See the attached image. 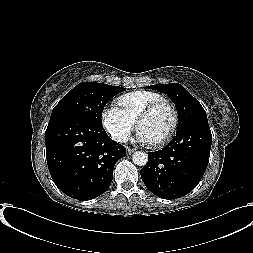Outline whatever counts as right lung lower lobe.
Segmentation results:
<instances>
[{
  "label": "right lung lower lobe",
  "instance_id": "1",
  "mask_svg": "<svg viewBox=\"0 0 253 253\" xmlns=\"http://www.w3.org/2000/svg\"><path fill=\"white\" fill-rule=\"evenodd\" d=\"M45 136L51 177L63 193L77 200L103 194L112 182L114 165L126 154L102 125L80 118L49 121Z\"/></svg>",
  "mask_w": 253,
  "mask_h": 253
}]
</instances>
